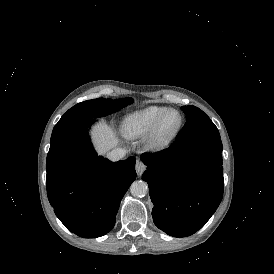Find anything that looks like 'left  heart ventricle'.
Wrapping results in <instances>:
<instances>
[{
    "mask_svg": "<svg viewBox=\"0 0 274 274\" xmlns=\"http://www.w3.org/2000/svg\"><path fill=\"white\" fill-rule=\"evenodd\" d=\"M180 122H181V117L178 113L171 114L167 118V120L163 126V132L164 133L173 132L174 130H176L178 128V126L180 125Z\"/></svg>",
    "mask_w": 274,
    "mask_h": 274,
    "instance_id": "1",
    "label": "left heart ventricle"
}]
</instances>
